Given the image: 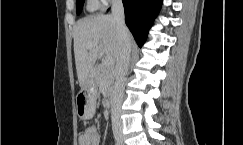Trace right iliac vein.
I'll return each instance as SVG.
<instances>
[{
	"mask_svg": "<svg viewBox=\"0 0 243 145\" xmlns=\"http://www.w3.org/2000/svg\"><path fill=\"white\" fill-rule=\"evenodd\" d=\"M116 140L119 142V143H122L123 142V137L121 135H116Z\"/></svg>",
	"mask_w": 243,
	"mask_h": 145,
	"instance_id": "1",
	"label": "right iliac vein"
}]
</instances>
